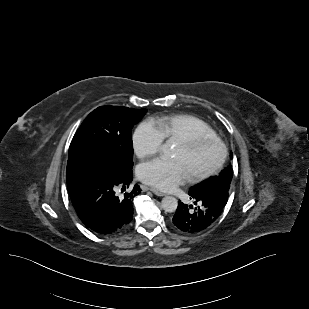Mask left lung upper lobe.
Returning a JSON list of instances; mask_svg holds the SVG:
<instances>
[{
	"instance_id": "left-lung-upper-lobe-1",
	"label": "left lung upper lobe",
	"mask_w": 309,
	"mask_h": 309,
	"mask_svg": "<svg viewBox=\"0 0 309 309\" xmlns=\"http://www.w3.org/2000/svg\"><path fill=\"white\" fill-rule=\"evenodd\" d=\"M230 158H232V153L230 154ZM232 177L233 169L230 164L219 176L210 177L192 188L194 190L204 192L207 195H216L228 198V191Z\"/></svg>"
}]
</instances>
